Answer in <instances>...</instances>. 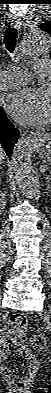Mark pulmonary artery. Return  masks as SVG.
Wrapping results in <instances>:
<instances>
[{
    "label": "pulmonary artery",
    "instance_id": "e3ab8cb5",
    "mask_svg": "<svg viewBox=\"0 0 51 393\" xmlns=\"http://www.w3.org/2000/svg\"><path fill=\"white\" fill-rule=\"evenodd\" d=\"M35 68L39 74H47L51 70V63L49 60H39L35 62ZM29 79L27 73H10L1 78L0 86L5 89L18 88L27 84Z\"/></svg>",
    "mask_w": 51,
    "mask_h": 393
}]
</instances>
